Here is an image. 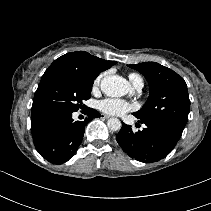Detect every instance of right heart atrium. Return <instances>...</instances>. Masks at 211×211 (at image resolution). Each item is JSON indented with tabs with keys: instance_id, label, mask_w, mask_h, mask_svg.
<instances>
[{
	"instance_id": "1",
	"label": "right heart atrium",
	"mask_w": 211,
	"mask_h": 211,
	"mask_svg": "<svg viewBox=\"0 0 211 211\" xmlns=\"http://www.w3.org/2000/svg\"><path fill=\"white\" fill-rule=\"evenodd\" d=\"M101 79H102V75H99V76L95 79L94 84H93L94 88H97V87L99 86Z\"/></svg>"
}]
</instances>
